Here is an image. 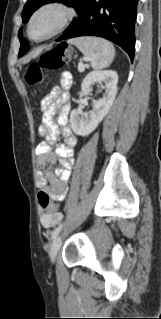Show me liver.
<instances>
[{
    "label": "liver",
    "mask_w": 161,
    "mask_h": 319,
    "mask_svg": "<svg viewBox=\"0 0 161 319\" xmlns=\"http://www.w3.org/2000/svg\"><path fill=\"white\" fill-rule=\"evenodd\" d=\"M40 52H41V49H37L36 51H34L31 54H29L26 57H24L21 62L22 63L29 62L31 58H34V57L38 56L40 54Z\"/></svg>",
    "instance_id": "liver-1"
}]
</instances>
